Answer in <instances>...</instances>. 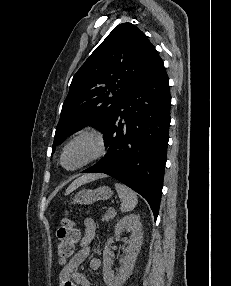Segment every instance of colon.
I'll use <instances>...</instances> for the list:
<instances>
[{"mask_svg":"<svg viewBox=\"0 0 231 286\" xmlns=\"http://www.w3.org/2000/svg\"><path fill=\"white\" fill-rule=\"evenodd\" d=\"M57 253L61 263H65L75 252L76 245L80 239V232L75 222L65 217L62 219L57 230Z\"/></svg>","mask_w":231,"mask_h":286,"instance_id":"5ec220e1","label":"colon"}]
</instances>
